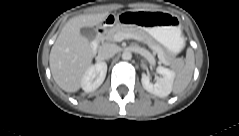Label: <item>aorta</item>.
I'll list each match as a JSON object with an SVG mask.
<instances>
[{
    "label": "aorta",
    "mask_w": 239,
    "mask_h": 136,
    "mask_svg": "<svg viewBox=\"0 0 239 136\" xmlns=\"http://www.w3.org/2000/svg\"><path fill=\"white\" fill-rule=\"evenodd\" d=\"M132 58V54L130 51L128 50H125L123 53H122V59L123 60H131Z\"/></svg>",
    "instance_id": "obj_1"
}]
</instances>
